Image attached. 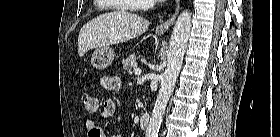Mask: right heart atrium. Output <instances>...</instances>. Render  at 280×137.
Returning a JSON list of instances; mask_svg holds the SVG:
<instances>
[{
	"mask_svg": "<svg viewBox=\"0 0 280 137\" xmlns=\"http://www.w3.org/2000/svg\"><path fill=\"white\" fill-rule=\"evenodd\" d=\"M139 2H140L141 9L147 8L150 4V2L148 0H140Z\"/></svg>",
	"mask_w": 280,
	"mask_h": 137,
	"instance_id": "right-heart-atrium-1",
	"label": "right heart atrium"
}]
</instances>
